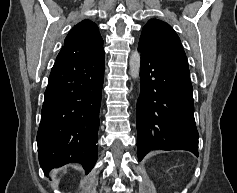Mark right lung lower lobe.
I'll return each mask as SVG.
<instances>
[{"label":"right lung lower lobe","mask_w":237,"mask_h":193,"mask_svg":"<svg viewBox=\"0 0 237 193\" xmlns=\"http://www.w3.org/2000/svg\"><path fill=\"white\" fill-rule=\"evenodd\" d=\"M104 55L79 58L60 52L49 76L37 133L40 166L79 162L89 173L97 161Z\"/></svg>","instance_id":"right-lung-lower-lobe-1"}]
</instances>
